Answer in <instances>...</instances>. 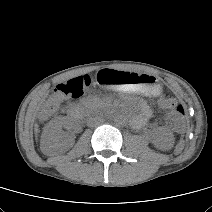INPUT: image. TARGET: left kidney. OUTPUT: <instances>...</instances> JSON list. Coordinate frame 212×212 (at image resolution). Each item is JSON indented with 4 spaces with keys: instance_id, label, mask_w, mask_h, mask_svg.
Here are the masks:
<instances>
[{
    "instance_id": "obj_1",
    "label": "left kidney",
    "mask_w": 212,
    "mask_h": 212,
    "mask_svg": "<svg viewBox=\"0 0 212 212\" xmlns=\"http://www.w3.org/2000/svg\"><path fill=\"white\" fill-rule=\"evenodd\" d=\"M153 142L159 149L168 150L173 146L174 138L170 132L161 131L155 136Z\"/></svg>"
}]
</instances>
